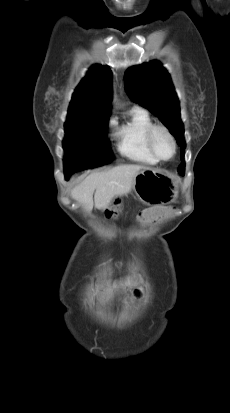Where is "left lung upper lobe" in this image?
Returning <instances> with one entry per match:
<instances>
[{"mask_svg": "<svg viewBox=\"0 0 230 413\" xmlns=\"http://www.w3.org/2000/svg\"><path fill=\"white\" fill-rule=\"evenodd\" d=\"M124 79L130 98L158 116L174 135L182 153L178 172L184 174V128L180 119L179 100L167 70L159 62L152 61L131 67Z\"/></svg>", "mask_w": 230, "mask_h": 413, "instance_id": "obj_1", "label": "left lung upper lobe"}]
</instances>
